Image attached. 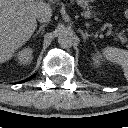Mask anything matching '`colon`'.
Instances as JSON below:
<instances>
[{
  "label": "colon",
  "mask_w": 128,
  "mask_h": 128,
  "mask_svg": "<svg viewBox=\"0 0 128 128\" xmlns=\"http://www.w3.org/2000/svg\"><path fill=\"white\" fill-rule=\"evenodd\" d=\"M124 15H125L126 19L128 20V8L125 10Z\"/></svg>",
  "instance_id": "colon-1"
}]
</instances>
